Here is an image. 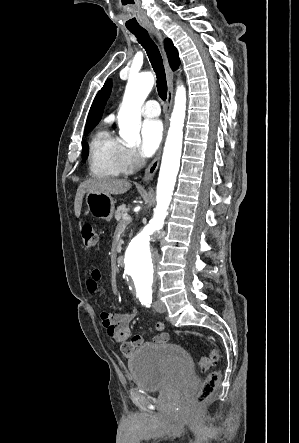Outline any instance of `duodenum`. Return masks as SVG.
I'll return each mask as SVG.
<instances>
[{
	"label": "duodenum",
	"instance_id": "duodenum-1",
	"mask_svg": "<svg viewBox=\"0 0 299 443\" xmlns=\"http://www.w3.org/2000/svg\"><path fill=\"white\" fill-rule=\"evenodd\" d=\"M116 264L118 265V266H123V257H121V256H118L117 258H116Z\"/></svg>",
	"mask_w": 299,
	"mask_h": 443
}]
</instances>
